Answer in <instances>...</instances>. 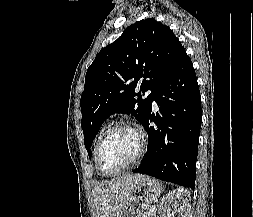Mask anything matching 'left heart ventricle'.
Returning <instances> with one entry per match:
<instances>
[{
  "label": "left heart ventricle",
  "mask_w": 253,
  "mask_h": 217,
  "mask_svg": "<svg viewBox=\"0 0 253 217\" xmlns=\"http://www.w3.org/2000/svg\"><path fill=\"white\" fill-rule=\"evenodd\" d=\"M138 140L127 129L111 133L104 141L100 151V165L105 172H112L128 163L136 154Z\"/></svg>",
  "instance_id": "obj_1"
}]
</instances>
